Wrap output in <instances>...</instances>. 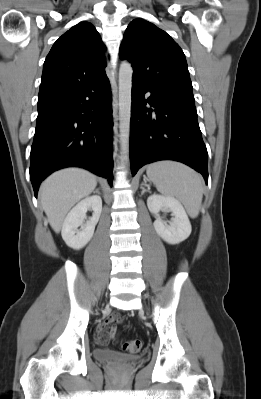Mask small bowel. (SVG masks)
<instances>
[{"instance_id": "obj_1", "label": "small bowel", "mask_w": 261, "mask_h": 399, "mask_svg": "<svg viewBox=\"0 0 261 399\" xmlns=\"http://www.w3.org/2000/svg\"><path fill=\"white\" fill-rule=\"evenodd\" d=\"M122 322V317L118 313H113L105 318L102 323L98 326L96 332V339L97 341L105 345L110 340L114 339L117 335L116 328L113 326L114 323Z\"/></svg>"}]
</instances>
